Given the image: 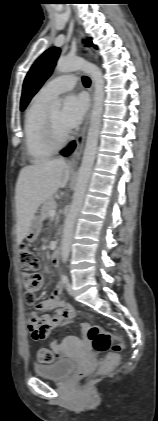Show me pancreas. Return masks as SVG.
Listing matches in <instances>:
<instances>
[{"label": "pancreas", "mask_w": 158, "mask_h": 421, "mask_svg": "<svg viewBox=\"0 0 158 421\" xmlns=\"http://www.w3.org/2000/svg\"><path fill=\"white\" fill-rule=\"evenodd\" d=\"M57 203L56 200L51 197L45 201L41 207V215L43 219L50 217V211L56 209Z\"/></svg>", "instance_id": "obj_1"}]
</instances>
